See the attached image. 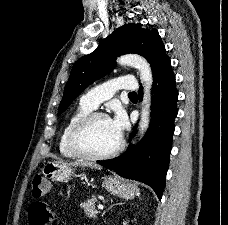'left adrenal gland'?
Returning <instances> with one entry per match:
<instances>
[{"label": "left adrenal gland", "mask_w": 228, "mask_h": 225, "mask_svg": "<svg viewBox=\"0 0 228 225\" xmlns=\"http://www.w3.org/2000/svg\"><path fill=\"white\" fill-rule=\"evenodd\" d=\"M117 205H124V203H117ZM112 207H114V205H112ZM112 207H109V209H112ZM109 209H108V211H109ZM103 215H105V213H103ZM103 215H102V217H103Z\"/></svg>", "instance_id": "1"}]
</instances>
